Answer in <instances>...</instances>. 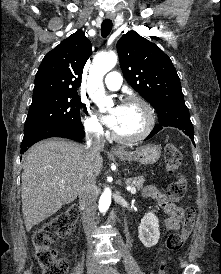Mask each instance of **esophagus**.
Returning <instances> with one entry per match:
<instances>
[{"mask_svg":"<svg viewBox=\"0 0 221 274\" xmlns=\"http://www.w3.org/2000/svg\"><path fill=\"white\" fill-rule=\"evenodd\" d=\"M106 17H107L108 19H113V18H114V15H113V14H107ZM111 152H113V153H118V152H120V150H119L118 148H116V147H112V148H111Z\"/></svg>","mask_w":221,"mask_h":274,"instance_id":"obj_1","label":"esophagus"}]
</instances>
